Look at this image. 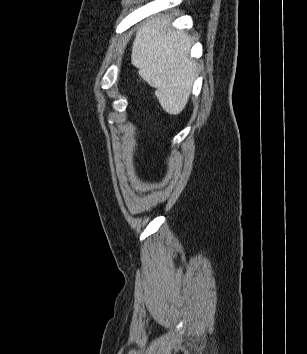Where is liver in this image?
I'll list each match as a JSON object with an SVG mask.
<instances>
[{
    "instance_id": "6515ba94",
    "label": "liver",
    "mask_w": 307,
    "mask_h": 354,
    "mask_svg": "<svg viewBox=\"0 0 307 354\" xmlns=\"http://www.w3.org/2000/svg\"><path fill=\"white\" fill-rule=\"evenodd\" d=\"M171 20L160 16L144 22L136 33L131 63L151 87L163 110L178 115L185 108L196 77L190 59V36L169 27Z\"/></svg>"
}]
</instances>
